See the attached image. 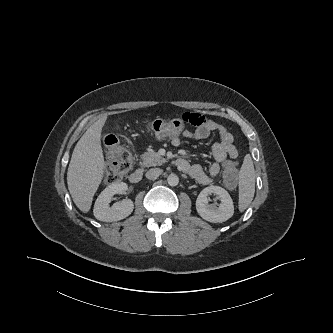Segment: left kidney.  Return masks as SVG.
<instances>
[{
  "label": "left kidney",
  "instance_id": "5707ae66",
  "mask_svg": "<svg viewBox=\"0 0 333 333\" xmlns=\"http://www.w3.org/2000/svg\"><path fill=\"white\" fill-rule=\"evenodd\" d=\"M215 194L220 199L219 207L208 204V195ZM196 210L206 221L211 223H222L234 214V205L229 193L222 187L209 186L204 188L197 197Z\"/></svg>",
  "mask_w": 333,
  "mask_h": 333
}]
</instances>
